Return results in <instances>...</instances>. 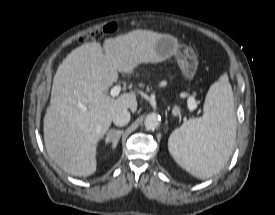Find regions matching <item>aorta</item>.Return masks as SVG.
Segmentation results:
<instances>
[{"label": "aorta", "mask_w": 275, "mask_h": 215, "mask_svg": "<svg viewBox=\"0 0 275 215\" xmlns=\"http://www.w3.org/2000/svg\"><path fill=\"white\" fill-rule=\"evenodd\" d=\"M161 117L157 113H150L145 117L144 125L148 130H154L159 127Z\"/></svg>", "instance_id": "aorta-1"}]
</instances>
